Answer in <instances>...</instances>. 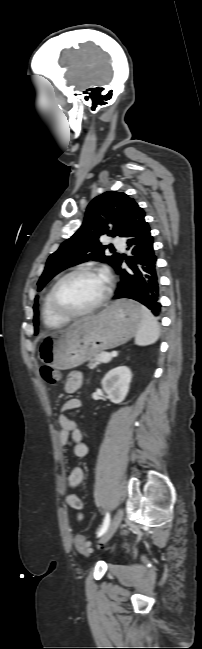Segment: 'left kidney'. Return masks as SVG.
<instances>
[{"instance_id":"obj_1","label":"left kidney","mask_w":202,"mask_h":649,"mask_svg":"<svg viewBox=\"0 0 202 649\" xmlns=\"http://www.w3.org/2000/svg\"><path fill=\"white\" fill-rule=\"evenodd\" d=\"M132 373L122 366L109 371L102 379V388L113 403H121L128 394Z\"/></svg>"}]
</instances>
